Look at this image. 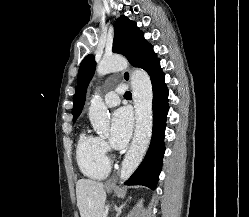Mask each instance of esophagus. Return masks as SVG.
<instances>
[{
	"label": "esophagus",
	"mask_w": 249,
	"mask_h": 217,
	"mask_svg": "<svg viewBox=\"0 0 249 217\" xmlns=\"http://www.w3.org/2000/svg\"><path fill=\"white\" fill-rule=\"evenodd\" d=\"M122 76H123V79H124L125 81L130 82V79H131V72H130L129 69L124 70V71L122 72ZM116 180H117V178H116V177H113V178H111V179L107 182V184H108V185H114V184L116 183Z\"/></svg>",
	"instance_id": "esophagus-1"
}]
</instances>
